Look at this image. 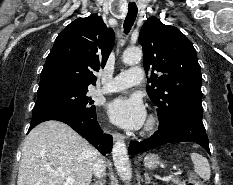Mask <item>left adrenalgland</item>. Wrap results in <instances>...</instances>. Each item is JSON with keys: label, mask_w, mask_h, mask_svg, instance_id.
<instances>
[{"label": "left adrenal gland", "mask_w": 233, "mask_h": 185, "mask_svg": "<svg viewBox=\"0 0 233 185\" xmlns=\"http://www.w3.org/2000/svg\"><path fill=\"white\" fill-rule=\"evenodd\" d=\"M145 176V183L148 185L151 182V178L149 177V174L147 172L144 173Z\"/></svg>", "instance_id": "obj_1"}]
</instances>
